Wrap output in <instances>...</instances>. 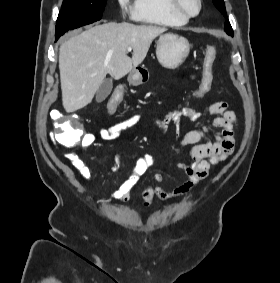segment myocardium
Segmentation results:
<instances>
[{"instance_id": "obj_1", "label": "myocardium", "mask_w": 280, "mask_h": 283, "mask_svg": "<svg viewBox=\"0 0 280 283\" xmlns=\"http://www.w3.org/2000/svg\"><path fill=\"white\" fill-rule=\"evenodd\" d=\"M171 5L175 11L180 13L181 15L185 16L186 18H194L198 16L202 10V0L197 1V10L195 12L190 11L184 5L183 0H170Z\"/></svg>"}]
</instances>
